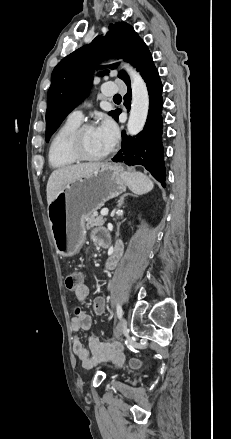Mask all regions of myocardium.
<instances>
[{"mask_svg": "<svg viewBox=\"0 0 231 439\" xmlns=\"http://www.w3.org/2000/svg\"><path fill=\"white\" fill-rule=\"evenodd\" d=\"M94 126L92 124L86 123L79 125L75 128L69 135L67 139V149L68 152L78 161H100L105 159L111 153V149L105 152L104 154L98 156H92L87 154L82 147L81 139L83 133L88 129H93Z\"/></svg>", "mask_w": 231, "mask_h": 439, "instance_id": "myocardium-1", "label": "myocardium"}]
</instances>
